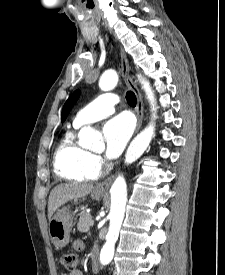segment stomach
<instances>
[{
  "instance_id": "0dacf381",
  "label": "stomach",
  "mask_w": 225,
  "mask_h": 275,
  "mask_svg": "<svg viewBox=\"0 0 225 275\" xmlns=\"http://www.w3.org/2000/svg\"><path fill=\"white\" fill-rule=\"evenodd\" d=\"M104 195V191L95 189L92 192V197L95 199ZM73 214L69 208L64 207L59 209L57 213L49 221V236L52 243L59 248L66 246L69 243L70 232L73 227Z\"/></svg>"
}]
</instances>
